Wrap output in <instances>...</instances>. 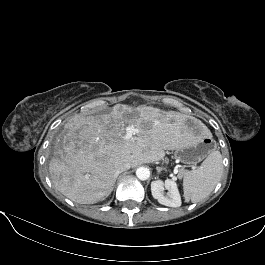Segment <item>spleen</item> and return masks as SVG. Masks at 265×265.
<instances>
[{
	"instance_id": "obj_1",
	"label": "spleen",
	"mask_w": 265,
	"mask_h": 265,
	"mask_svg": "<svg viewBox=\"0 0 265 265\" xmlns=\"http://www.w3.org/2000/svg\"><path fill=\"white\" fill-rule=\"evenodd\" d=\"M222 173V155L217 150L212 151L197 169L184 174L185 200L195 203L205 199L220 181Z\"/></svg>"
}]
</instances>
